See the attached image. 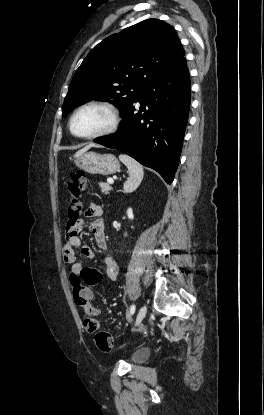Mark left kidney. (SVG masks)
<instances>
[{
  "mask_svg": "<svg viewBox=\"0 0 264 415\" xmlns=\"http://www.w3.org/2000/svg\"><path fill=\"white\" fill-rule=\"evenodd\" d=\"M127 216H128V218H129V219H133V218H134V216H133V211H132V209H131V208H129V209L127 210Z\"/></svg>",
  "mask_w": 264,
  "mask_h": 415,
  "instance_id": "5707ae66",
  "label": "left kidney"
}]
</instances>
